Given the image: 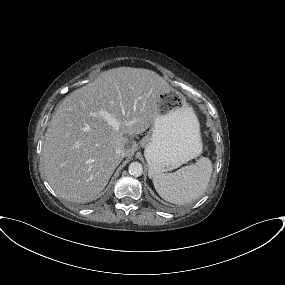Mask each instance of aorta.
<instances>
[{
	"mask_svg": "<svg viewBox=\"0 0 285 285\" xmlns=\"http://www.w3.org/2000/svg\"><path fill=\"white\" fill-rule=\"evenodd\" d=\"M129 173L134 177H139L143 174V166L139 162H132L129 165Z\"/></svg>",
	"mask_w": 285,
	"mask_h": 285,
	"instance_id": "762f6f07",
	"label": "aorta"
}]
</instances>
